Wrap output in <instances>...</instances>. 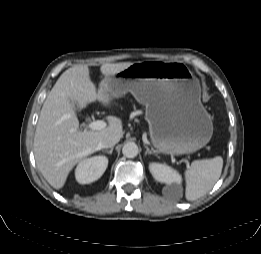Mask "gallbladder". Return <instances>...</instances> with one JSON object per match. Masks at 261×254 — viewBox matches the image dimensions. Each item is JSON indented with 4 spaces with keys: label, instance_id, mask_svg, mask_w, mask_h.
<instances>
[{
    "label": "gallbladder",
    "instance_id": "obj_1",
    "mask_svg": "<svg viewBox=\"0 0 261 254\" xmlns=\"http://www.w3.org/2000/svg\"><path fill=\"white\" fill-rule=\"evenodd\" d=\"M70 102L73 104V101H72V100H70Z\"/></svg>",
    "mask_w": 261,
    "mask_h": 254
}]
</instances>
